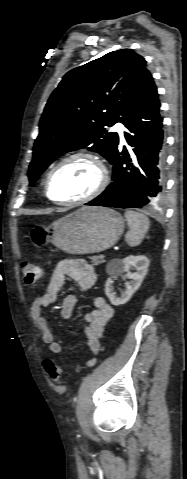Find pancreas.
<instances>
[{"label": "pancreas", "mask_w": 187, "mask_h": 479, "mask_svg": "<svg viewBox=\"0 0 187 479\" xmlns=\"http://www.w3.org/2000/svg\"><path fill=\"white\" fill-rule=\"evenodd\" d=\"M91 262L94 266H96V265H99L101 263H104V260L100 256H92L91 257Z\"/></svg>", "instance_id": "1"}]
</instances>
